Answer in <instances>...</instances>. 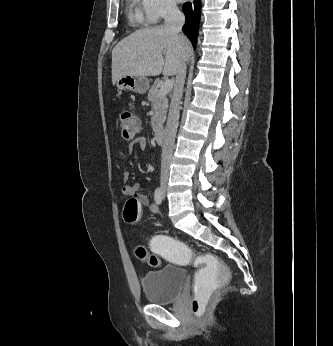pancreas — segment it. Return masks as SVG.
<instances>
[{
	"label": "pancreas",
	"instance_id": "1",
	"mask_svg": "<svg viewBox=\"0 0 333 346\" xmlns=\"http://www.w3.org/2000/svg\"><path fill=\"white\" fill-rule=\"evenodd\" d=\"M148 100L152 107L151 126L155 133L163 128L168 108V99L159 94V86L155 83L148 92Z\"/></svg>",
	"mask_w": 333,
	"mask_h": 346
}]
</instances>
